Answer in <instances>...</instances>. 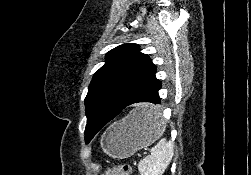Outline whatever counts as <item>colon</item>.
Instances as JSON below:
<instances>
[{
    "label": "colon",
    "mask_w": 251,
    "mask_h": 175,
    "mask_svg": "<svg viewBox=\"0 0 251 175\" xmlns=\"http://www.w3.org/2000/svg\"><path fill=\"white\" fill-rule=\"evenodd\" d=\"M133 167L130 164H117L107 167L101 175H130Z\"/></svg>",
    "instance_id": "5ec220e1"
}]
</instances>
